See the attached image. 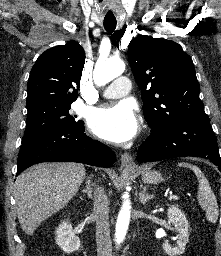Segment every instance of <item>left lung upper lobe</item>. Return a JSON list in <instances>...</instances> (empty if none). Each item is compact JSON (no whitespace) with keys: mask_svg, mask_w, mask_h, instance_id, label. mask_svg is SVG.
I'll return each mask as SVG.
<instances>
[{"mask_svg":"<svg viewBox=\"0 0 221 256\" xmlns=\"http://www.w3.org/2000/svg\"><path fill=\"white\" fill-rule=\"evenodd\" d=\"M128 59L152 130L208 119L192 59L179 44L139 35L129 44Z\"/></svg>","mask_w":221,"mask_h":256,"instance_id":"5c2ea615","label":"left lung upper lobe"}]
</instances>
